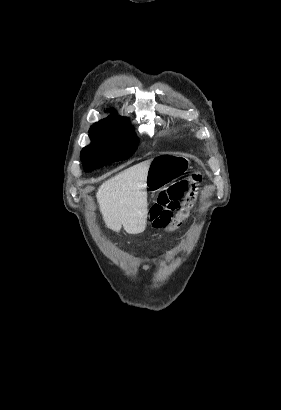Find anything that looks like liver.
I'll list each match as a JSON object with an SVG mask.
<instances>
[{
  "label": "liver",
  "instance_id": "obj_1",
  "mask_svg": "<svg viewBox=\"0 0 281 410\" xmlns=\"http://www.w3.org/2000/svg\"><path fill=\"white\" fill-rule=\"evenodd\" d=\"M151 160L125 169L105 181L96 193L106 226L128 234L142 233L147 225L146 180Z\"/></svg>",
  "mask_w": 281,
  "mask_h": 410
}]
</instances>
